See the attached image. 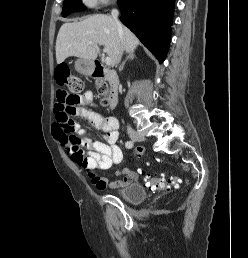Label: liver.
Returning a JSON list of instances; mask_svg holds the SVG:
<instances>
[{"label":"liver","mask_w":248,"mask_h":258,"mask_svg":"<svg viewBox=\"0 0 248 258\" xmlns=\"http://www.w3.org/2000/svg\"><path fill=\"white\" fill-rule=\"evenodd\" d=\"M123 41V50L134 52L139 45L137 37L127 28L119 33L116 22L108 15L95 14L86 19L65 23L61 26L56 40V60L58 64L71 56L94 61L98 56V46L104 45L105 52L117 64Z\"/></svg>","instance_id":"6515ba94"}]
</instances>
